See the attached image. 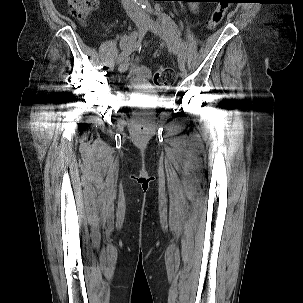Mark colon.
I'll return each instance as SVG.
<instances>
[{"label": "colon", "mask_w": 303, "mask_h": 303, "mask_svg": "<svg viewBox=\"0 0 303 303\" xmlns=\"http://www.w3.org/2000/svg\"><path fill=\"white\" fill-rule=\"evenodd\" d=\"M98 0H68L70 11L77 17L86 18L96 7ZM227 0H218L217 6L214 8L207 26L209 29H214L222 21L227 9ZM153 82L160 88H167L174 84L175 74L168 67H159L153 75Z\"/></svg>", "instance_id": "5ec220e1"}]
</instances>
